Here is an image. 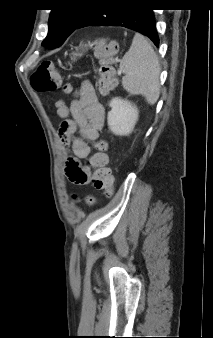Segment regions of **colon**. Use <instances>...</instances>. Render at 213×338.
Listing matches in <instances>:
<instances>
[{"mask_svg": "<svg viewBox=\"0 0 213 338\" xmlns=\"http://www.w3.org/2000/svg\"><path fill=\"white\" fill-rule=\"evenodd\" d=\"M92 48L97 57V83L101 93L111 91L116 86V66L115 62L119 58V46L115 42L105 38H96L91 42ZM32 88L39 93L55 92L60 88V73L58 68L51 61H43L37 71L30 77ZM64 92L70 93L71 87L66 85ZM62 126L70 129L73 123L64 121ZM107 142L98 140L95 143V151L91 157L81 165L79 161L69 160L66 165V174L70 180L75 179L76 174L83 172L85 168L93 170V185L96 190L111 193L114 186V176L111 169L107 166L108 156L106 153ZM87 204L93 203V197L85 199Z\"/></svg>", "mask_w": 213, "mask_h": 338, "instance_id": "1", "label": "colon"}]
</instances>
